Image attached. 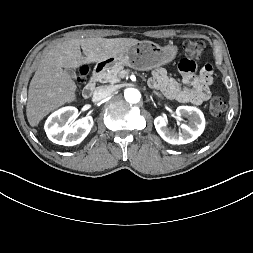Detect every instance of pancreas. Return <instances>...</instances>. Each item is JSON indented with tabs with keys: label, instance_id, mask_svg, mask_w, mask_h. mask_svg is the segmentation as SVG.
<instances>
[{
	"label": "pancreas",
	"instance_id": "pancreas-1",
	"mask_svg": "<svg viewBox=\"0 0 253 253\" xmlns=\"http://www.w3.org/2000/svg\"><path fill=\"white\" fill-rule=\"evenodd\" d=\"M123 71L124 70L122 66L115 65L110 67L109 71L104 72L102 74V78L104 79L105 82L117 83L120 82V80L125 77V75L122 74Z\"/></svg>",
	"mask_w": 253,
	"mask_h": 253
}]
</instances>
